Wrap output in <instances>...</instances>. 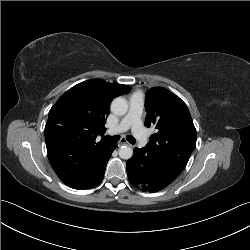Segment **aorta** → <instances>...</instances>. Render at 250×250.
Returning a JSON list of instances; mask_svg holds the SVG:
<instances>
[{"instance_id":"762f6f07","label":"aorta","mask_w":250,"mask_h":250,"mask_svg":"<svg viewBox=\"0 0 250 250\" xmlns=\"http://www.w3.org/2000/svg\"><path fill=\"white\" fill-rule=\"evenodd\" d=\"M110 108L114 114L122 116L128 111V102L122 97H117L112 101ZM119 156L122 159L128 160L133 156V149L128 146H122L119 149Z\"/></svg>"}]
</instances>
